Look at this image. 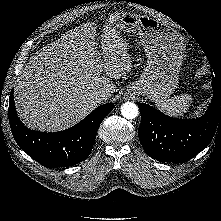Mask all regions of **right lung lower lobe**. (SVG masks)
Returning a JSON list of instances; mask_svg holds the SVG:
<instances>
[{"mask_svg": "<svg viewBox=\"0 0 221 221\" xmlns=\"http://www.w3.org/2000/svg\"><path fill=\"white\" fill-rule=\"evenodd\" d=\"M114 108L104 104L73 127L60 132L45 133L28 129L18 118L13 90L10 94L8 118L19 147L47 168L67 167L86 159L95 142L97 130Z\"/></svg>", "mask_w": 221, "mask_h": 221, "instance_id": "obj_1", "label": "right lung lower lobe"}]
</instances>
